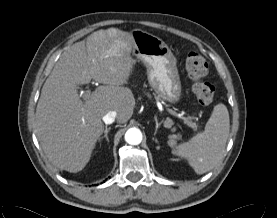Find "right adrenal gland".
<instances>
[{"instance_id": "1", "label": "right adrenal gland", "mask_w": 277, "mask_h": 218, "mask_svg": "<svg viewBox=\"0 0 277 218\" xmlns=\"http://www.w3.org/2000/svg\"><path fill=\"white\" fill-rule=\"evenodd\" d=\"M110 130H111V127L105 129L104 135H103L101 138H99V142H100L103 138H105L106 141L109 142L108 133H109Z\"/></svg>"}]
</instances>
